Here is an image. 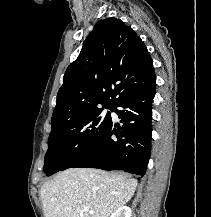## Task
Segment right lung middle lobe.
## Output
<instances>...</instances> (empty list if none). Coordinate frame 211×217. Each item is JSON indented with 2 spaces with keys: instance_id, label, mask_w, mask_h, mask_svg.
Listing matches in <instances>:
<instances>
[{
  "instance_id": "dd1d6c3e",
  "label": "right lung middle lobe",
  "mask_w": 211,
  "mask_h": 217,
  "mask_svg": "<svg viewBox=\"0 0 211 217\" xmlns=\"http://www.w3.org/2000/svg\"><path fill=\"white\" fill-rule=\"evenodd\" d=\"M103 110L89 112L52 128L44 164L48 176L70 168L98 145L112 122L110 112L105 114Z\"/></svg>"
}]
</instances>
